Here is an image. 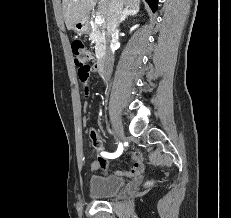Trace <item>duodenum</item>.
Returning <instances> with one entry per match:
<instances>
[{
  "mask_svg": "<svg viewBox=\"0 0 231 218\" xmlns=\"http://www.w3.org/2000/svg\"><path fill=\"white\" fill-rule=\"evenodd\" d=\"M97 71L100 75H104L106 74L107 70H108V65H107V61L103 56H100L98 62H97Z\"/></svg>",
  "mask_w": 231,
  "mask_h": 218,
  "instance_id": "410a0bca",
  "label": "duodenum"
}]
</instances>
